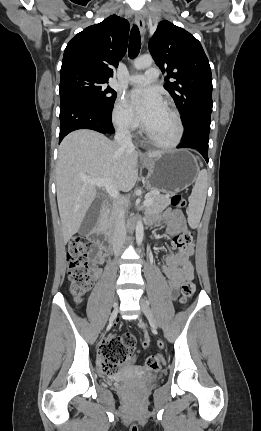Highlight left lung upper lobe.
<instances>
[{"mask_svg": "<svg viewBox=\"0 0 261 431\" xmlns=\"http://www.w3.org/2000/svg\"><path fill=\"white\" fill-rule=\"evenodd\" d=\"M149 51L161 71L167 72L164 88L173 97L183 125L198 115H211L212 75L200 42L186 30L161 21L149 41Z\"/></svg>", "mask_w": 261, "mask_h": 431, "instance_id": "5c2ea615", "label": "left lung upper lobe"}]
</instances>
